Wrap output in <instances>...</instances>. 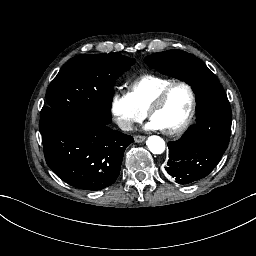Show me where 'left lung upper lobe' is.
<instances>
[{
    "instance_id": "obj_1",
    "label": "left lung upper lobe",
    "mask_w": 256,
    "mask_h": 256,
    "mask_svg": "<svg viewBox=\"0 0 256 256\" xmlns=\"http://www.w3.org/2000/svg\"><path fill=\"white\" fill-rule=\"evenodd\" d=\"M144 61L160 73L188 83L198 104L197 124L180 140L168 142L166 171L207 176L221 159L231 134V108L222 86L200 59L182 50L155 53Z\"/></svg>"
}]
</instances>
